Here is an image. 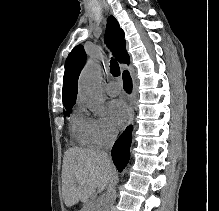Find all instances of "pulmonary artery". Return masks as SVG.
<instances>
[{"instance_id":"e3ab8cb5","label":"pulmonary artery","mask_w":219,"mask_h":211,"mask_svg":"<svg viewBox=\"0 0 219 211\" xmlns=\"http://www.w3.org/2000/svg\"><path fill=\"white\" fill-rule=\"evenodd\" d=\"M105 91L110 96H116L121 91V85L117 81H111V82L106 84Z\"/></svg>"}]
</instances>
